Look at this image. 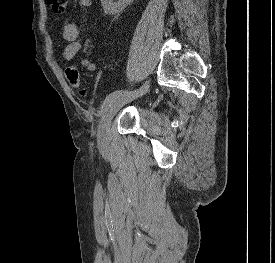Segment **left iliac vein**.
<instances>
[{
	"mask_svg": "<svg viewBox=\"0 0 275 263\" xmlns=\"http://www.w3.org/2000/svg\"><path fill=\"white\" fill-rule=\"evenodd\" d=\"M143 94H128L127 96L116 99L111 105L106 109L100 120L97 129V140L99 144H106L109 141L110 128L113 117L119 111L121 107L125 104L131 102L135 98L142 96Z\"/></svg>",
	"mask_w": 275,
	"mask_h": 263,
	"instance_id": "4c4485c4",
	"label": "left iliac vein"
}]
</instances>
